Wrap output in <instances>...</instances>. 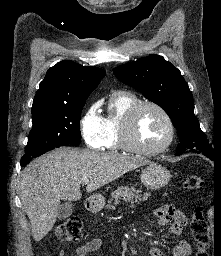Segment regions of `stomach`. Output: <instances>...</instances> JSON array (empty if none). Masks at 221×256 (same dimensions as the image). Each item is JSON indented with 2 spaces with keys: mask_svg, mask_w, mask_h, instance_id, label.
Masks as SVG:
<instances>
[{
  "mask_svg": "<svg viewBox=\"0 0 221 256\" xmlns=\"http://www.w3.org/2000/svg\"><path fill=\"white\" fill-rule=\"evenodd\" d=\"M172 175L170 171L157 163H150L141 171V182L149 189H161L165 187ZM105 205V199L101 195H93L90 198V209L100 211Z\"/></svg>",
  "mask_w": 221,
  "mask_h": 256,
  "instance_id": "0dacf381",
  "label": "stomach"
}]
</instances>
